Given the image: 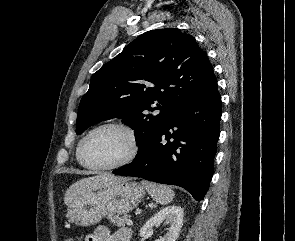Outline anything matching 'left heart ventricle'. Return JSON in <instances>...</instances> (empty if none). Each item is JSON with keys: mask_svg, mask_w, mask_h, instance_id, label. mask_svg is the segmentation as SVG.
Instances as JSON below:
<instances>
[{"mask_svg": "<svg viewBox=\"0 0 295 241\" xmlns=\"http://www.w3.org/2000/svg\"><path fill=\"white\" fill-rule=\"evenodd\" d=\"M127 134L117 128L95 132L85 147V159L93 165H111L123 160L130 152Z\"/></svg>", "mask_w": 295, "mask_h": 241, "instance_id": "obj_1", "label": "left heart ventricle"}]
</instances>
